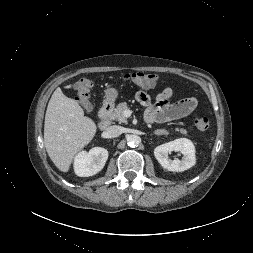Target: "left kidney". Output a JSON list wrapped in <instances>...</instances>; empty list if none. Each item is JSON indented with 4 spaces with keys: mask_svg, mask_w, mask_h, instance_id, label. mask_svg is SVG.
<instances>
[{
    "mask_svg": "<svg viewBox=\"0 0 253 253\" xmlns=\"http://www.w3.org/2000/svg\"><path fill=\"white\" fill-rule=\"evenodd\" d=\"M172 151L181 152L183 158L181 160H171L168 157ZM154 155L161 166L169 171L182 172L196 163L195 147L189 139L180 138L174 141L157 146L154 149Z\"/></svg>",
    "mask_w": 253,
    "mask_h": 253,
    "instance_id": "obj_1",
    "label": "left kidney"
}]
</instances>
